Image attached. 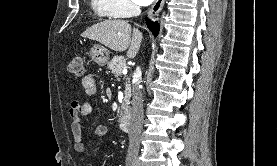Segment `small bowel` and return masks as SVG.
I'll list each match as a JSON object with an SVG mask.
<instances>
[{"label":"small bowel","instance_id":"small-bowel-1","mask_svg":"<svg viewBox=\"0 0 277 166\" xmlns=\"http://www.w3.org/2000/svg\"><path fill=\"white\" fill-rule=\"evenodd\" d=\"M83 93L85 96H91L97 90V78L94 74H87L82 79ZM92 113V105L87 99L74 100L69 107V117L71 119V131L74 137L75 149L81 155L87 154L86 141L83 137L84 124L83 116ZM107 134V128L103 125L97 126L93 131V137L102 139Z\"/></svg>","mask_w":277,"mask_h":166}]
</instances>
